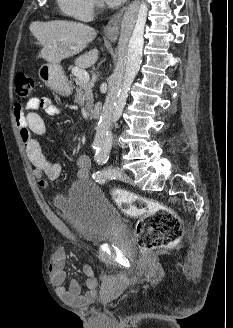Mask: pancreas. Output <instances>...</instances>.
I'll return each mask as SVG.
<instances>
[{
    "label": "pancreas",
    "instance_id": "pancreas-1",
    "mask_svg": "<svg viewBox=\"0 0 233 328\" xmlns=\"http://www.w3.org/2000/svg\"><path fill=\"white\" fill-rule=\"evenodd\" d=\"M77 87L75 93V102L79 104H84L88 112L89 117L93 115L94 99L92 93V86L90 83H85L82 80L77 79Z\"/></svg>",
    "mask_w": 233,
    "mask_h": 328
}]
</instances>
